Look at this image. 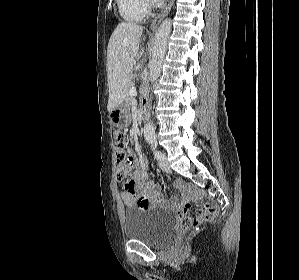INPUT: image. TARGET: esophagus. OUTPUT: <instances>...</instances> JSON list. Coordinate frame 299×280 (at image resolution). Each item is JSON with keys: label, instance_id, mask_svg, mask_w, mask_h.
Returning <instances> with one entry per match:
<instances>
[{"label": "esophagus", "instance_id": "esophagus-1", "mask_svg": "<svg viewBox=\"0 0 299 280\" xmlns=\"http://www.w3.org/2000/svg\"><path fill=\"white\" fill-rule=\"evenodd\" d=\"M174 3V0H169L167 6L164 8V10L157 16L155 19L151 22L150 30L154 31L158 25L161 23V21L166 17V15L169 13L172 5Z\"/></svg>", "mask_w": 299, "mask_h": 280}]
</instances>
